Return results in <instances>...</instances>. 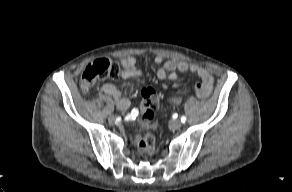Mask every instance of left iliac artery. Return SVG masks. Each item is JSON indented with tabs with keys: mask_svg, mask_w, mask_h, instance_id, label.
Segmentation results:
<instances>
[{
	"mask_svg": "<svg viewBox=\"0 0 292 192\" xmlns=\"http://www.w3.org/2000/svg\"><path fill=\"white\" fill-rule=\"evenodd\" d=\"M186 120H187L186 116H182V117H181V122H182V123H185Z\"/></svg>",
	"mask_w": 292,
	"mask_h": 192,
	"instance_id": "1",
	"label": "left iliac artery"
}]
</instances>
